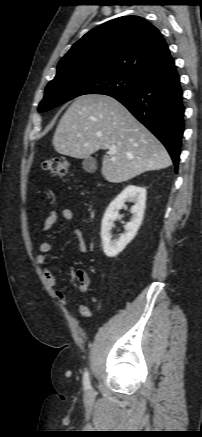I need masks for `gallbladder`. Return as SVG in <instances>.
<instances>
[{"label": "gallbladder", "mask_w": 202, "mask_h": 437, "mask_svg": "<svg viewBox=\"0 0 202 437\" xmlns=\"http://www.w3.org/2000/svg\"><path fill=\"white\" fill-rule=\"evenodd\" d=\"M83 168L87 172H94L97 168L96 161L92 157L86 158L83 163Z\"/></svg>", "instance_id": "obj_1"}]
</instances>
